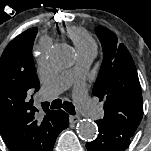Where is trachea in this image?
I'll return each instance as SVG.
<instances>
[{"label":"trachea","mask_w":151,"mask_h":151,"mask_svg":"<svg viewBox=\"0 0 151 151\" xmlns=\"http://www.w3.org/2000/svg\"><path fill=\"white\" fill-rule=\"evenodd\" d=\"M51 109H59L63 108L65 111H67L71 115H75V107L71 102L64 101L62 102L61 99H55L50 106Z\"/></svg>","instance_id":"1"}]
</instances>
